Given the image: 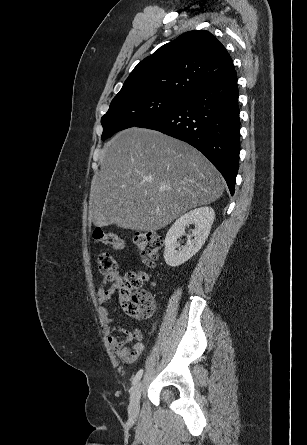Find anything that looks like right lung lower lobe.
Instances as JSON below:
<instances>
[{
	"label": "right lung lower lobe",
	"instance_id": "98d812e1",
	"mask_svg": "<svg viewBox=\"0 0 307 445\" xmlns=\"http://www.w3.org/2000/svg\"><path fill=\"white\" fill-rule=\"evenodd\" d=\"M136 127L160 131L197 148L221 172L234 194L240 151L235 70L187 95L172 110Z\"/></svg>",
	"mask_w": 307,
	"mask_h": 445
}]
</instances>
